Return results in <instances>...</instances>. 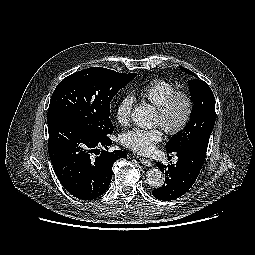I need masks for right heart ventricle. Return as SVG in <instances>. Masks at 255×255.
I'll use <instances>...</instances> for the list:
<instances>
[{
  "label": "right heart ventricle",
  "mask_w": 255,
  "mask_h": 255,
  "mask_svg": "<svg viewBox=\"0 0 255 255\" xmlns=\"http://www.w3.org/2000/svg\"><path fill=\"white\" fill-rule=\"evenodd\" d=\"M175 91L174 83L165 79H155L138 92V97L158 107Z\"/></svg>",
  "instance_id": "right-heart-ventricle-1"
}]
</instances>
